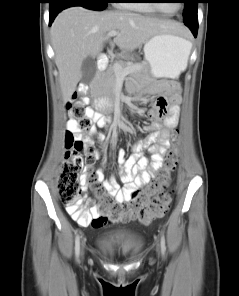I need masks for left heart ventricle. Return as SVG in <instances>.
I'll use <instances>...</instances> for the list:
<instances>
[{"instance_id": "obj_1", "label": "left heart ventricle", "mask_w": 239, "mask_h": 296, "mask_svg": "<svg viewBox=\"0 0 239 296\" xmlns=\"http://www.w3.org/2000/svg\"><path fill=\"white\" fill-rule=\"evenodd\" d=\"M158 4L165 12L171 13L177 9L178 3H173L170 1H166V0H161V1H159Z\"/></svg>"}]
</instances>
